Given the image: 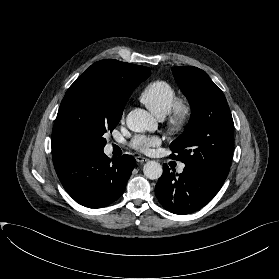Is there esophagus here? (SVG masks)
<instances>
[{"instance_id":"1","label":"esophagus","mask_w":279,"mask_h":279,"mask_svg":"<svg viewBox=\"0 0 279 279\" xmlns=\"http://www.w3.org/2000/svg\"><path fill=\"white\" fill-rule=\"evenodd\" d=\"M147 160H148L147 158L142 157V156H137V157H136V161H137V162H140V163L146 162Z\"/></svg>"}]
</instances>
